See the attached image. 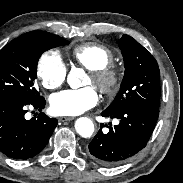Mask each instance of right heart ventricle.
<instances>
[{
	"mask_svg": "<svg viewBox=\"0 0 183 183\" xmlns=\"http://www.w3.org/2000/svg\"><path fill=\"white\" fill-rule=\"evenodd\" d=\"M71 54L74 61L90 71L105 67L114 59L109 47L94 42L78 45Z\"/></svg>",
	"mask_w": 183,
	"mask_h": 183,
	"instance_id": "1",
	"label": "right heart ventricle"
}]
</instances>
